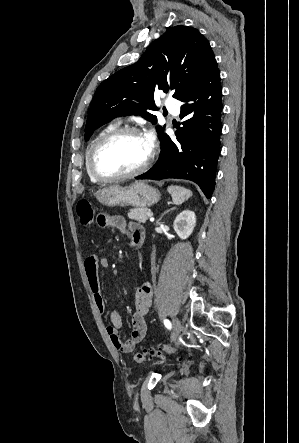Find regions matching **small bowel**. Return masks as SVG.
Masks as SVG:
<instances>
[{
    "label": "small bowel",
    "mask_w": 299,
    "mask_h": 443,
    "mask_svg": "<svg viewBox=\"0 0 299 443\" xmlns=\"http://www.w3.org/2000/svg\"><path fill=\"white\" fill-rule=\"evenodd\" d=\"M100 227L114 228L123 234L129 236L130 244L138 241L142 243L145 238L144 227L137 222L127 223L119 215L102 213L97 218ZM112 239L107 241L109 244ZM109 261L98 255H90L84 263V269L90 290L98 311L103 314L106 311L105 299L101 293L99 279V268H109ZM153 289L152 284L147 281L142 284L135 293L134 313L132 315V332L128 339L122 340L119 336V330L122 327V318L117 310L112 309L109 312L110 325L106 327V332L110 337L111 343L116 350L122 353H131L136 346L143 340L147 331L146 316L149 313L152 304Z\"/></svg>",
    "instance_id": "1"
}]
</instances>
